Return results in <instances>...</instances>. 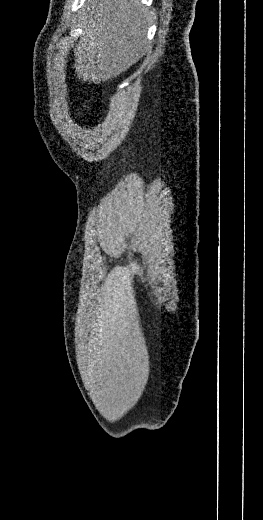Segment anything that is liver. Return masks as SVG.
Wrapping results in <instances>:
<instances>
[{
	"mask_svg": "<svg viewBox=\"0 0 263 520\" xmlns=\"http://www.w3.org/2000/svg\"><path fill=\"white\" fill-rule=\"evenodd\" d=\"M74 50L79 79L99 84L125 72L149 47L151 14L140 0H89Z\"/></svg>",
	"mask_w": 263,
	"mask_h": 520,
	"instance_id": "liver-1",
	"label": "liver"
}]
</instances>
